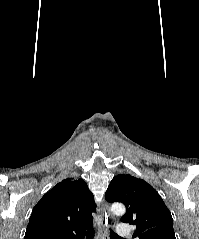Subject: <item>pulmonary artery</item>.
I'll return each mask as SVG.
<instances>
[{
  "mask_svg": "<svg viewBox=\"0 0 199 239\" xmlns=\"http://www.w3.org/2000/svg\"><path fill=\"white\" fill-rule=\"evenodd\" d=\"M116 232L120 237L127 238L131 234L128 224H118L116 226Z\"/></svg>",
  "mask_w": 199,
  "mask_h": 239,
  "instance_id": "obj_1",
  "label": "pulmonary artery"
}]
</instances>
